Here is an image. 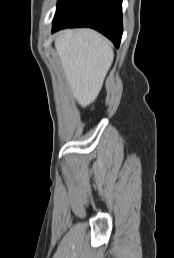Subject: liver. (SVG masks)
<instances>
[{
  "instance_id": "1",
  "label": "liver",
  "mask_w": 174,
  "mask_h": 258,
  "mask_svg": "<svg viewBox=\"0 0 174 258\" xmlns=\"http://www.w3.org/2000/svg\"><path fill=\"white\" fill-rule=\"evenodd\" d=\"M55 48L73 96L81 106L90 104L113 62L110 44L92 29H67L56 37Z\"/></svg>"
}]
</instances>
